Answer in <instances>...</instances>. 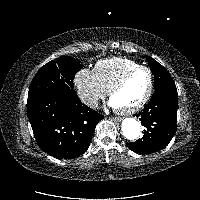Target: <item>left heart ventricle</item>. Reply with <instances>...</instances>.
Wrapping results in <instances>:
<instances>
[{
  "label": "left heart ventricle",
  "instance_id": "obj_1",
  "mask_svg": "<svg viewBox=\"0 0 200 200\" xmlns=\"http://www.w3.org/2000/svg\"><path fill=\"white\" fill-rule=\"evenodd\" d=\"M149 86V74L142 70L135 73L112 96L118 108H127L137 104L146 94Z\"/></svg>",
  "mask_w": 200,
  "mask_h": 200
}]
</instances>
